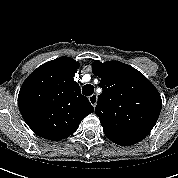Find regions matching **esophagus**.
Masks as SVG:
<instances>
[{"label":"esophagus","mask_w":178,"mask_h":178,"mask_svg":"<svg viewBox=\"0 0 178 178\" xmlns=\"http://www.w3.org/2000/svg\"><path fill=\"white\" fill-rule=\"evenodd\" d=\"M89 102L92 104L93 107L97 104V95L93 94L89 97Z\"/></svg>","instance_id":"obj_1"}]
</instances>
